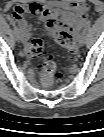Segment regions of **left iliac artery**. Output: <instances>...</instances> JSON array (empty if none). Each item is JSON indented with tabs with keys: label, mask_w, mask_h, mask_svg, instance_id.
<instances>
[{
	"label": "left iliac artery",
	"mask_w": 104,
	"mask_h": 137,
	"mask_svg": "<svg viewBox=\"0 0 104 137\" xmlns=\"http://www.w3.org/2000/svg\"><path fill=\"white\" fill-rule=\"evenodd\" d=\"M90 25H91V23H90V21H88L87 23H86V26H85V28L83 29V35L86 33V31L89 29V27H90Z\"/></svg>",
	"instance_id": "obj_1"
}]
</instances>
